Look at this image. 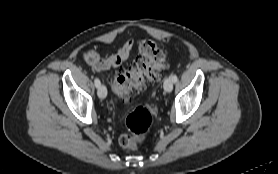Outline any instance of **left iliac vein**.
<instances>
[{
	"label": "left iliac vein",
	"mask_w": 278,
	"mask_h": 174,
	"mask_svg": "<svg viewBox=\"0 0 278 174\" xmlns=\"http://www.w3.org/2000/svg\"><path fill=\"white\" fill-rule=\"evenodd\" d=\"M164 90L170 93L173 89V81L171 78H166L163 84Z\"/></svg>",
	"instance_id": "1"
}]
</instances>
